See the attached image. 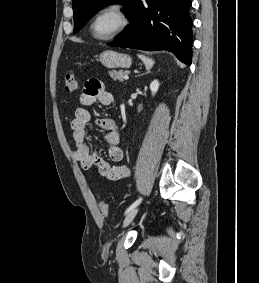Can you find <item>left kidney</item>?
<instances>
[{"instance_id": "1", "label": "left kidney", "mask_w": 259, "mask_h": 283, "mask_svg": "<svg viewBox=\"0 0 259 283\" xmlns=\"http://www.w3.org/2000/svg\"><path fill=\"white\" fill-rule=\"evenodd\" d=\"M159 81L158 80H154L151 82L150 84V90L152 92V95H155V93L158 91L159 89Z\"/></svg>"}]
</instances>
